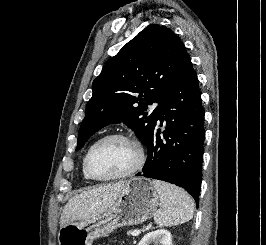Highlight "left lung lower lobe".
I'll return each mask as SVG.
<instances>
[{"instance_id": "obj_1", "label": "left lung lower lobe", "mask_w": 266, "mask_h": 245, "mask_svg": "<svg viewBox=\"0 0 266 245\" xmlns=\"http://www.w3.org/2000/svg\"><path fill=\"white\" fill-rule=\"evenodd\" d=\"M166 121L165 140L159 122ZM204 109L197 73L190 58L167 91L147 144L148 157L141 172L144 176L183 187L199 202L202 182Z\"/></svg>"}]
</instances>
